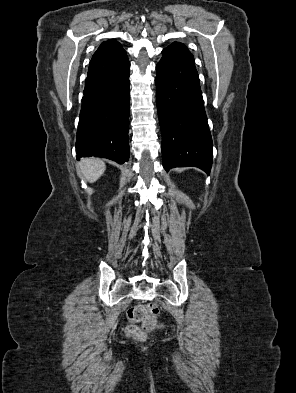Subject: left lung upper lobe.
<instances>
[{
  "mask_svg": "<svg viewBox=\"0 0 296 393\" xmlns=\"http://www.w3.org/2000/svg\"><path fill=\"white\" fill-rule=\"evenodd\" d=\"M163 51H169V52H175V53H182V54H190L192 55L187 47L180 43V42H174L172 43L169 47L165 48Z\"/></svg>",
  "mask_w": 296,
  "mask_h": 393,
  "instance_id": "left-lung-upper-lobe-1",
  "label": "left lung upper lobe"
}]
</instances>
